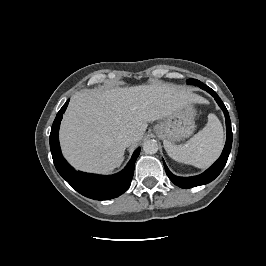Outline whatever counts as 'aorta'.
<instances>
[{
  "instance_id": "aorta-1",
  "label": "aorta",
  "mask_w": 266,
  "mask_h": 266,
  "mask_svg": "<svg viewBox=\"0 0 266 266\" xmlns=\"http://www.w3.org/2000/svg\"><path fill=\"white\" fill-rule=\"evenodd\" d=\"M143 151L146 154L152 155L157 153L158 151V144L156 140H147L143 143Z\"/></svg>"
}]
</instances>
